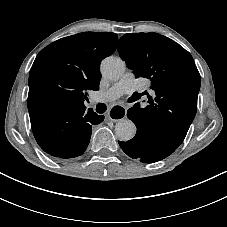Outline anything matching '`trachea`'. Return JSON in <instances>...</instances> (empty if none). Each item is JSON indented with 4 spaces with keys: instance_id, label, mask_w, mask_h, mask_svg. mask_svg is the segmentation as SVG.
<instances>
[{
    "instance_id": "trachea-1",
    "label": "trachea",
    "mask_w": 227,
    "mask_h": 227,
    "mask_svg": "<svg viewBox=\"0 0 227 227\" xmlns=\"http://www.w3.org/2000/svg\"><path fill=\"white\" fill-rule=\"evenodd\" d=\"M140 94H137L136 92L128 99V102H134L140 98ZM107 110V106L105 103H97L96 104V111L98 113H104Z\"/></svg>"
}]
</instances>
